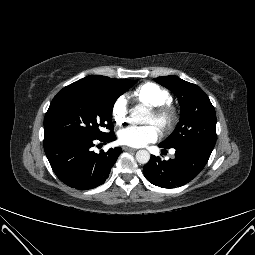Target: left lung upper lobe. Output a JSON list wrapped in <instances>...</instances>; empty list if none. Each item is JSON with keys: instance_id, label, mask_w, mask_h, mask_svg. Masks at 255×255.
I'll return each instance as SVG.
<instances>
[{"instance_id": "5c2ea615", "label": "left lung upper lobe", "mask_w": 255, "mask_h": 255, "mask_svg": "<svg viewBox=\"0 0 255 255\" xmlns=\"http://www.w3.org/2000/svg\"><path fill=\"white\" fill-rule=\"evenodd\" d=\"M170 89L181 106L180 122L162 144L166 148H197L212 152L216 142V114L206 93L177 76L155 78Z\"/></svg>"}]
</instances>
